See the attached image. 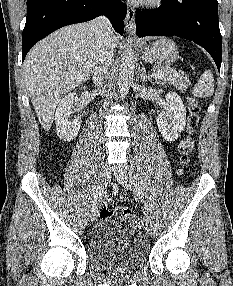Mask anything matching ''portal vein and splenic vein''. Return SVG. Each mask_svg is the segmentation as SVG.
I'll use <instances>...</instances> for the list:
<instances>
[{"instance_id":"portal-vein-and-splenic-vein-1","label":"portal vein and splenic vein","mask_w":233,"mask_h":286,"mask_svg":"<svg viewBox=\"0 0 233 286\" xmlns=\"http://www.w3.org/2000/svg\"><path fill=\"white\" fill-rule=\"evenodd\" d=\"M152 76L155 78L156 77H162V72L161 71L154 72Z\"/></svg>"}]
</instances>
